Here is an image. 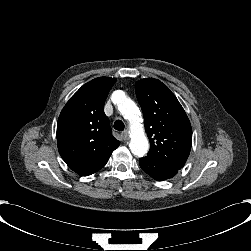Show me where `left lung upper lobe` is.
<instances>
[{
  "instance_id": "1",
  "label": "left lung upper lobe",
  "mask_w": 251,
  "mask_h": 251,
  "mask_svg": "<svg viewBox=\"0 0 251 251\" xmlns=\"http://www.w3.org/2000/svg\"><path fill=\"white\" fill-rule=\"evenodd\" d=\"M135 91L150 139L147 157L180 170L192 145V128L183 107L169 88L157 79L137 81Z\"/></svg>"
}]
</instances>
